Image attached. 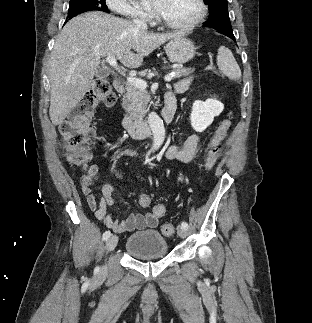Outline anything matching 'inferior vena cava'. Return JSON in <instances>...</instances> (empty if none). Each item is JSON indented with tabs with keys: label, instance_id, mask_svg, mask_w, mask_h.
Masks as SVG:
<instances>
[{
	"label": "inferior vena cava",
	"instance_id": "602c4592",
	"mask_svg": "<svg viewBox=\"0 0 312 323\" xmlns=\"http://www.w3.org/2000/svg\"><path fill=\"white\" fill-rule=\"evenodd\" d=\"M133 22L138 26V28H144V30H147V26L143 20H133Z\"/></svg>",
	"mask_w": 312,
	"mask_h": 323
}]
</instances>
